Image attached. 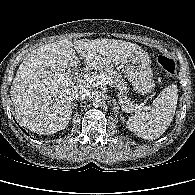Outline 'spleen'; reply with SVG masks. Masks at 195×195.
<instances>
[{
    "label": "spleen",
    "mask_w": 195,
    "mask_h": 195,
    "mask_svg": "<svg viewBox=\"0 0 195 195\" xmlns=\"http://www.w3.org/2000/svg\"><path fill=\"white\" fill-rule=\"evenodd\" d=\"M178 88L172 84L161 91L159 96L148 106L147 112H138L127 121L128 128L137 136L154 140L159 138L169 127L176 111Z\"/></svg>",
    "instance_id": "3e777b00"
}]
</instances>
